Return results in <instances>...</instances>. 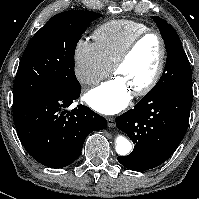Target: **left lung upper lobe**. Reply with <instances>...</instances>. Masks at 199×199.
Instances as JSON below:
<instances>
[{
  "label": "left lung upper lobe",
  "mask_w": 199,
  "mask_h": 199,
  "mask_svg": "<svg viewBox=\"0 0 199 199\" xmlns=\"http://www.w3.org/2000/svg\"><path fill=\"white\" fill-rule=\"evenodd\" d=\"M167 51L165 71L156 86L147 94L158 96L177 88L192 89V71L181 40L175 29L164 19L153 16Z\"/></svg>",
  "instance_id": "left-lung-upper-lobe-1"
}]
</instances>
